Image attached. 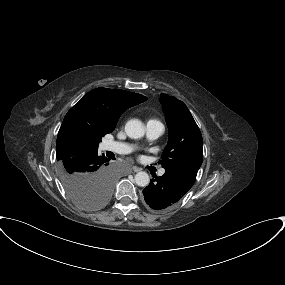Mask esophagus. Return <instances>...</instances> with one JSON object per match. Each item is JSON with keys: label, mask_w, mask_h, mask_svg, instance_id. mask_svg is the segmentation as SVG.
Wrapping results in <instances>:
<instances>
[{"label": "esophagus", "mask_w": 285, "mask_h": 285, "mask_svg": "<svg viewBox=\"0 0 285 285\" xmlns=\"http://www.w3.org/2000/svg\"><path fill=\"white\" fill-rule=\"evenodd\" d=\"M132 169H133L134 172H139V171H141V168H139V167H137V166H133Z\"/></svg>", "instance_id": "obj_1"}]
</instances>
